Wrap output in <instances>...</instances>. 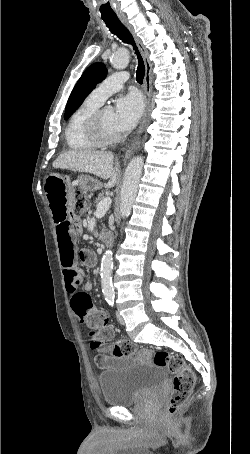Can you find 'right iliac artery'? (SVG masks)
<instances>
[{"label":"right iliac artery","instance_id":"obj_1","mask_svg":"<svg viewBox=\"0 0 250 454\" xmlns=\"http://www.w3.org/2000/svg\"><path fill=\"white\" fill-rule=\"evenodd\" d=\"M107 302H108L109 305L113 306V304H114V299H108Z\"/></svg>","mask_w":250,"mask_h":454}]
</instances>
